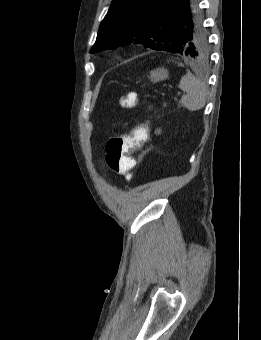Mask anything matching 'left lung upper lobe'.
<instances>
[{"label": "left lung upper lobe", "instance_id": "5c2ea615", "mask_svg": "<svg viewBox=\"0 0 261 340\" xmlns=\"http://www.w3.org/2000/svg\"><path fill=\"white\" fill-rule=\"evenodd\" d=\"M164 1L113 0L90 52L137 43L188 58L206 57L209 43L199 7L172 20L160 9Z\"/></svg>", "mask_w": 261, "mask_h": 340}]
</instances>
